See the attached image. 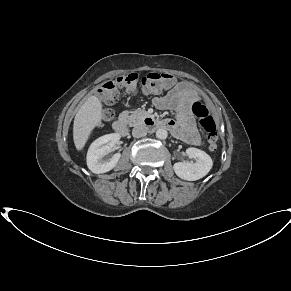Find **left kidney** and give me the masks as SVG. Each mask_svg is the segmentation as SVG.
<instances>
[{
    "instance_id": "left-kidney-1",
    "label": "left kidney",
    "mask_w": 291,
    "mask_h": 291,
    "mask_svg": "<svg viewBox=\"0 0 291 291\" xmlns=\"http://www.w3.org/2000/svg\"><path fill=\"white\" fill-rule=\"evenodd\" d=\"M186 153L196 162H176L173 165L176 175L187 181H195L206 176L213 165L211 157L197 148H188Z\"/></svg>"
}]
</instances>
